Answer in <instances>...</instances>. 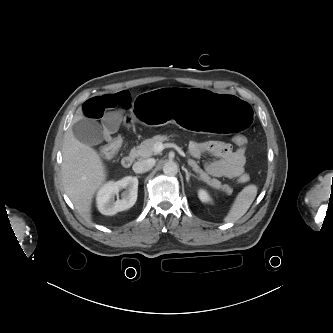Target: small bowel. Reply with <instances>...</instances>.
<instances>
[{"mask_svg": "<svg viewBox=\"0 0 333 333\" xmlns=\"http://www.w3.org/2000/svg\"><path fill=\"white\" fill-rule=\"evenodd\" d=\"M131 103V96L126 91L104 94L84 102L82 114L90 119H102L106 125L112 126L118 118L117 112L130 109ZM188 150L195 158H200L203 154L216 158L205 163V170L214 177L234 178L244 172L245 147L232 149L229 144L221 141H191Z\"/></svg>", "mask_w": 333, "mask_h": 333, "instance_id": "obj_1", "label": "small bowel"}]
</instances>
